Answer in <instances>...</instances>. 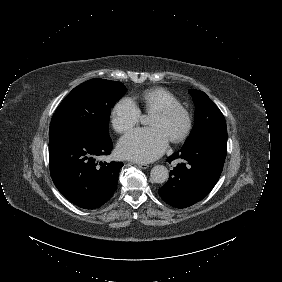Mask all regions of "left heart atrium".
I'll list each match as a JSON object with an SVG mask.
<instances>
[{
    "instance_id": "left-heart-atrium-1",
    "label": "left heart atrium",
    "mask_w": 282,
    "mask_h": 282,
    "mask_svg": "<svg viewBox=\"0 0 282 282\" xmlns=\"http://www.w3.org/2000/svg\"><path fill=\"white\" fill-rule=\"evenodd\" d=\"M168 137L159 127L128 131L119 141L118 150L123 158L150 162L166 149Z\"/></svg>"
}]
</instances>
